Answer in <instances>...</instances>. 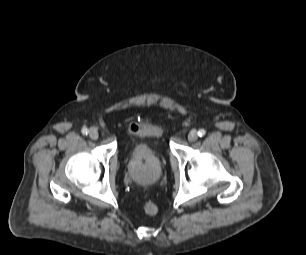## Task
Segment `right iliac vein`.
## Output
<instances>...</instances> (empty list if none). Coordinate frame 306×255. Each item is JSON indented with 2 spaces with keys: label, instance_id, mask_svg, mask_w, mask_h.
Masks as SVG:
<instances>
[{
  "label": "right iliac vein",
  "instance_id": "1",
  "mask_svg": "<svg viewBox=\"0 0 306 255\" xmlns=\"http://www.w3.org/2000/svg\"><path fill=\"white\" fill-rule=\"evenodd\" d=\"M89 136H90V138L93 139V140L98 139V137H99L98 129L95 128V127H92V128L89 130Z\"/></svg>",
  "mask_w": 306,
  "mask_h": 255
}]
</instances>
